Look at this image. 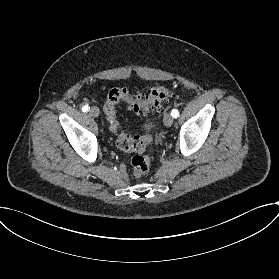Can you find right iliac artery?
Here are the masks:
<instances>
[{"instance_id":"1","label":"right iliac artery","mask_w":279,"mask_h":279,"mask_svg":"<svg viewBox=\"0 0 279 279\" xmlns=\"http://www.w3.org/2000/svg\"><path fill=\"white\" fill-rule=\"evenodd\" d=\"M89 109H90V107L88 105H85L82 107L83 112H87V111H89Z\"/></svg>"}]
</instances>
